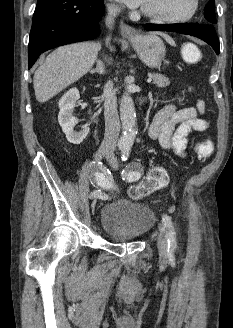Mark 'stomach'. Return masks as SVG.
I'll list each match as a JSON object with an SVG mask.
<instances>
[{"instance_id": "obj_1", "label": "stomach", "mask_w": 233, "mask_h": 328, "mask_svg": "<svg viewBox=\"0 0 233 328\" xmlns=\"http://www.w3.org/2000/svg\"><path fill=\"white\" fill-rule=\"evenodd\" d=\"M130 42L140 59L149 67L157 68L164 61L166 48L156 34H140L130 38Z\"/></svg>"}]
</instances>
